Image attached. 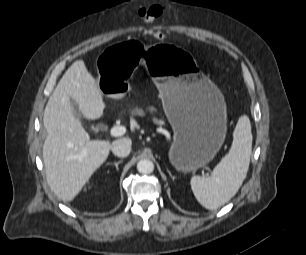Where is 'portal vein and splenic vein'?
I'll list each match as a JSON object with an SVG mask.
<instances>
[{
    "label": "portal vein and splenic vein",
    "instance_id": "1",
    "mask_svg": "<svg viewBox=\"0 0 306 255\" xmlns=\"http://www.w3.org/2000/svg\"><path fill=\"white\" fill-rule=\"evenodd\" d=\"M126 132V128L124 126H114L110 129V135L112 137H119L124 135ZM86 153L85 150L82 151V155Z\"/></svg>",
    "mask_w": 306,
    "mask_h": 255
}]
</instances>
